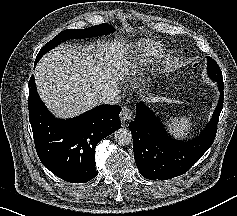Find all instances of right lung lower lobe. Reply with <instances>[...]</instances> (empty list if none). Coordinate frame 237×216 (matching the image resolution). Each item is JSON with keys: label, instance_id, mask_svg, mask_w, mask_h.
I'll return each instance as SVG.
<instances>
[{"label": "right lung lower lobe", "instance_id": "98d812e1", "mask_svg": "<svg viewBox=\"0 0 237 216\" xmlns=\"http://www.w3.org/2000/svg\"><path fill=\"white\" fill-rule=\"evenodd\" d=\"M28 87L29 120L43 165L67 182L85 183L96 177V145L121 128L122 108L100 105L72 119H55L39 98L33 75Z\"/></svg>", "mask_w": 237, "mask_h": 216}]
</instances>
